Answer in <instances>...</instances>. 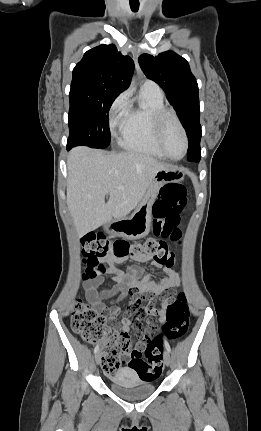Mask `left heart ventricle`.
Returning a JSON list of instances; mask_svg holds the SVG:
<instances>
[{
  "instance_id": "b2bd125f",
  "label": "left heart ventricle",
  "mask_w": 261,
  "mask_h": 431,
  "mask_svg": "<svg viewBox=\"0 0 261 431\" xmlns=\"http://www.w3.org/2000/svg\"><path fill=\"white\" fill-rule=\"evenodd\" d=\"M163 143L166 151L172 157H180L184 151V139L177 125L169 120L163 133Z\"/></svg>"
}]
</instances>
